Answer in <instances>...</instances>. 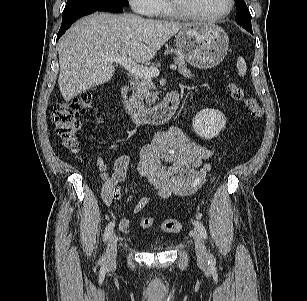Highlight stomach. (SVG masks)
I'll use <instances>...</instances> for the list:
<instances>
[{
	"mask_svg": "<svg viewBox=\"0 0 307 301\" xmlns=\"http://www.w3.org/2000/svg\"><path fill=\"white\" fill-rule=\"evenodd\" d=\"M178 51L192 66L202 69L217 66L226 56L229 37L214 24H190L176 35Z\"/></svg>",
	"mask_w": 307,
	"mask_h": 301,
	"instance_id": "obj_1",
	"label": "stomach"
}]
</instances>
